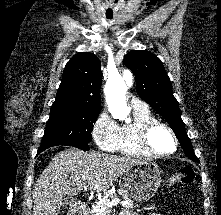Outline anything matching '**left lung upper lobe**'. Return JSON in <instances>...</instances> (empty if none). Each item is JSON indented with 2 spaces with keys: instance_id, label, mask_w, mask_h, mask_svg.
Listing matches in <instances>:
<instances>
[{
  "instance_id": "left-lung-upper-lobe-1",
  "label": "left lung upper lobe",
  "mask_w": 221,
  "mask_h": 215,
  "mask_svg": "<svg viewBox=\"0 0 221 215\" xmlns=\"http://www.w3.org/2000/svg\"><path fill=\"white\" fill-rule=\"evenodd\" d=\"M124 64L133 71L136 89L170 124L188 158L199 162L181 119L178 102L173 96L170 78L161 60L146 50H134L124 58Z\"/></svg>"
}]
</instances>
